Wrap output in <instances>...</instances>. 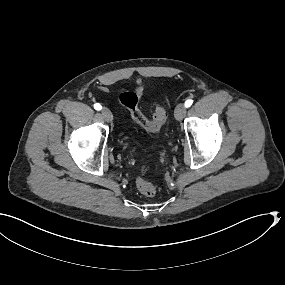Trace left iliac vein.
Wrapping results in <instances>:
<instances>
[{
    "mask_svg": "<svg viewBox=\"0 0 285 285\" xmlns=\"http://www.w3.org/2000/svg\"><path fill=\"white\" fill-rule=\"evenodd\" d=\"M174 114H175V118L177 120H182L185 117V115H186V107L184 106L183 103H179L176 106Z\"/></svg>",
    "mask_w": 285,
    "mask_h": 285,
    "instance_id": "1",
    "label": "left iliac vein"
}]
</instances>
